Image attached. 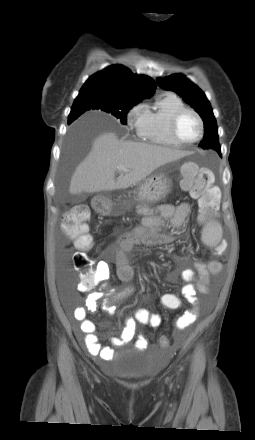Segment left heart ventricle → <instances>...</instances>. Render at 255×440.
Listing matches in <instances>:
<instances>
[{"label": "left heart ventricle", "instance_id": "1", "mask_svg": "<svg viewBox=\"0 0 255 440\" xmlns=\"http://www.w3.org/2000/svg\"><path fill=\"white\" fill-rule=\"evenodd\" d=\"M178 134L185 141H192L199 134V124L191 113L184 114L178 124Z\"/></svg>", "mask_w": 255, "mask_h": 440}]
</instances>
